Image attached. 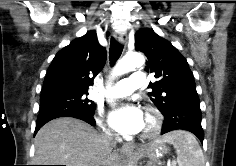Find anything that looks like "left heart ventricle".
<instances>
[{
  "mask_svg": "<svg viewBox=\"0 0 236 166\" xmlns=\"http://www.w3.org/2000/svg\"><path fill=\"white\" fill-rule=\"evenodd\" d=\"M148 126H149V121H148L147 117H145V127L143 130H145Z\"/></svg>",
  "mask_w": 236,
  "mask_h": 166,
  "instance_id": "obj_1",
  "label": "left heart ventricle"
}]
</instances>
